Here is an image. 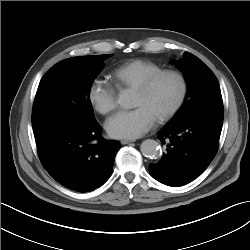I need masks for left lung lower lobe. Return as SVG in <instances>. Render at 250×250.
<instances>
[{
  "label": "left lung lower lobe",
  "instance_id": "1",
  "mask_svg": "<svg viewBox=\"0 0 250 250\" xmlns=\"http://www.w3.org/2000/svg\"><path fill=\"white\" fill-rule=\"evenodd\" d=\"M222 125L223 106L168 123L157 133L167 149L159 162L149 165L151 176L174 187L197 178L217 153Z\"/></svg>",
  "mask_w": 250,
  "mask_h": 250
}]
</instances>
